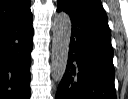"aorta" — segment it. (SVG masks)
<instances>
[{
  "label": "aorta",
  "mask_w": 128,
  "mask_h": 99,
  "mask_svg": "<svg viewBox=\"0 0 128 99\" xmlns=\"http://www.w3.org/2000/svg\"><path fill=\"white\" fill-rule=\"evenodd\" d=\"M71 19L65 12L57 13L53 21L51 70L54 81L60 82L64 76L71 37Z\"/></svg>",
  "instance_id": "1"
}]
</instances>
